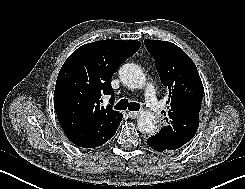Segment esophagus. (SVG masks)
Masks as SVG:
<instances>
[{
    "label": "esophagus",
    "mask_w": 245,
    "mask_h": 189,
    "mask_svg": "<svg viewBox=\"0 0 245 189\" xmlns=\"http://www.w3.org/2000/svg\"><path fill=\"white\" fill-rule=\"evenodd\" d=\"M128 115L130 116V118L135 119L140 115V112L130 111V112H128Z\"/></svg>",
    "instance_id": "esophagus-1"
}]
</instances>
